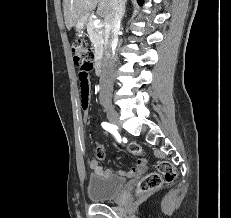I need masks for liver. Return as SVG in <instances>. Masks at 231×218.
Returning <instances> with one entry per match:
<instances>
[{
    "label": "liver",
    "instance_id": "obj_1",
    "mask_svg": "<svg viewBox=\"0 0 231 218\" xmlns=\"http://www.w3.org/2000/svg\"><path fill=\"white\" fill-rule=\"evenodd\" d=\"M98 4L97 13L106 17L110 9V0H63L65 24L70 30L74 23L83 17H87Z\"/></svg>",
    "mask_w": 231,
    "mask_h": 218
}]
</instances>
